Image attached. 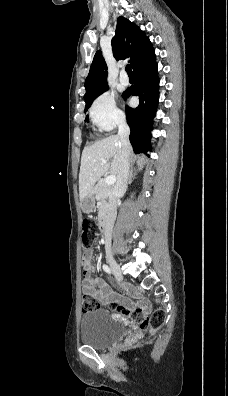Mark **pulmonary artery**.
<instances>
[{
    "label": "pulmonary artery",
    "mask_w": 228,
    "mask_h": 396,
    "mask_svg": "<svg viewBox=\"0 0 228 396\" xmlns=\"http://www.w3.org/2000/svg\"><path fill=\"white\" fill-rule=\"evenodd\" d=\"M119 81H120V83H121L122 85H125V86L129 84V78H128L127 75L124 74V73H122V74L120 75Z\"/></svg>",
    "instance_id": "1"
}]
</instances>
